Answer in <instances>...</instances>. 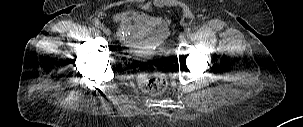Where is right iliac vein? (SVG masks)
<instances>
[{
	"mask_svg": "<svg viewBox=\"0 0 303 127\" xmlns=\"http://www.w3.org/2000/svg\"><path fill=\"white\" fill-rule=\"evenodd\" d=\"M102 30L106 35H110V30L108 28L103 26Z\"/></svg>",
	"mask_w": 303,
	"mask_h": 127,
	"instance_id": "63e3f726",
	"label": "right iliac vein"
}]
</instances>
